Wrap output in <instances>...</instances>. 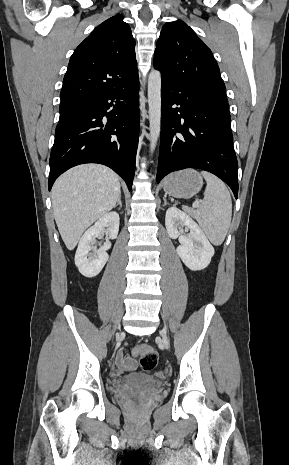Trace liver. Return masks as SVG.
I'll return each mask as SVG.
<instances>
[{"label": "liver", "mask_w": 289, "mask_h": 465, "mask_svg": "<svg viewBox=\"0 0 289 465\" xmlns=\"http://www.w3.org/2000/svg\"><path fill=\"white\" fill-rule=\"evenodd\" d=\"M121 194L118 175L98 164L76 166L52 188V207L60 235L69 250L83 232L116 205Z\"/></svg>", "instance_id": "liver-1"}]
</instances>
